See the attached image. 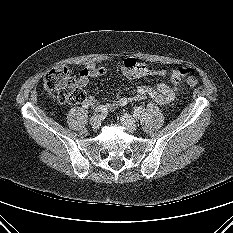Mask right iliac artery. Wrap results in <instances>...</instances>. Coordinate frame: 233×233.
Listing matches in <instances>:
<instances>
[{"instance_id": "82829eb1", "label": "right iliac artery", "mask_w": 233, "mask_h": 233, "mask_svg": "<svg viewBox=\"0 0 233 233\" xmlns=\"http://www.w3.org/2000/svg\"><path fill=\"white\" fill-rule=\"evenodd\" d=\"M107 107L104 106V105H101L97 108H95V110L93 111L94 113H99V112H102V113H106L107 112Z\"/></svg>"}]
</instances>
